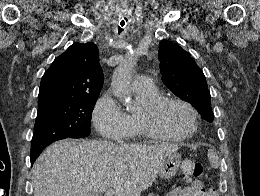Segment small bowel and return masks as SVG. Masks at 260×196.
Instances as JSON below:
<instances>
[{
    "label": "small bowel",
    "mask_w": 260,
    "mask_h": 196,
    "mask_svg": "<svg viewBox=\"0 0 260 196\" xmlns=\"http://www.w3.org/2000/svg\"><path fill=\"white\" fill-rule=\"evenodd\" d=\"M201 180H194L184 187L173 188L167 196H210Z\"/></svg>",
    "instance_id": "obj_1"
}]
</instances>
